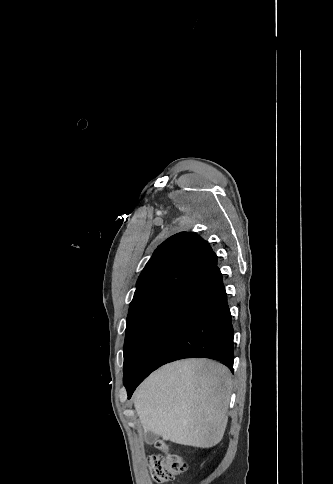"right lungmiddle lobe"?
Masks as SVG:
<instances>
[{"label":"right lung middle lobe","mask_w":333,"mask_h":484,"mask_svg":"<svg viewBox=\"0 0 333 484\" xmlns=\"http://www.w3.org/2000/svg\"><path fill=\"white\" fill-rule=\"evenodd\" d=\"M167 295H162L149 300L129 311L127 317L126 337L124 344V385L130 379L133 365L137 359V351L145 332L146 326L153 313Z\"/></svg>","instance_id":"right-lung-middle-lobe-1"}]
</instances>
